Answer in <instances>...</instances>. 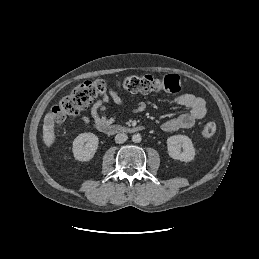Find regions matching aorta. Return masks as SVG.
Masks as SVG:
<instances>
[{"label": "aorta", "instance_id": "obj_1", "mask_svg": "<svg viewBox=\"0 0 259 259\" xmlns=\"http://www.w3.org/2000/svg\"><path fill=\"white\" fill-rule=\"evenodd\" d=\"M141 140H142V137L139 133H136L132 136V141L134 143H139V142H141Z\"/></svg>", "mask_w": 259, "mask_h": 259}]
</instances>
